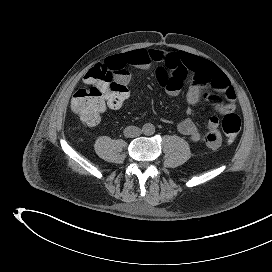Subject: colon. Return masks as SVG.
I'll return each mask as SVG.
<instances>
[{
  "label": "colon",
  "instance_id": "obj_1",
  "mask_svg": "<svg viewBox=\"0 0 272 272\" xmlns=\"http://www.w3.org/2000/svg\"><path fill=\"white\" fill-rule=\"evenodd\" d=\"M123 67L95 65L84 76L87 87L77 90L71 100V109L80 121L87 126L99 122L106 105L120 108L130 94L127 82L119 76L124 75ZM222 129L228 143H233L241 130L238 115L229 113L222 120Z\"/></svg>",
  "mask_w": 272,
  "mask_h": 272
}]
</instances>
